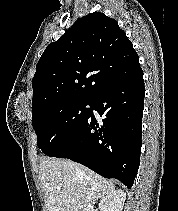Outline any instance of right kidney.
<instances>
[{"mask_svg":"<svg viewBox=\"0 0 178 211\" xmlns=\"http://www.w3.org/2000/svg\"><path fill=\"white\" fill-rule=\"evenodd\" d=\"M126 193L123 190H114L107 194L99 203L100 211H122Z\"/></svg>","mask_w":178,"mask_h":211,"instance_id":"ca27d5eb","label":"right kidney"}]
</instances>
